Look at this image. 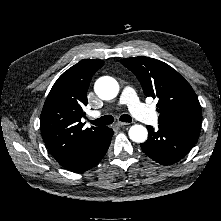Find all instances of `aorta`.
<instances>
[{"label":"aorta","instance_id":"obj_1","mask_svg":"<svg viewBox=\"0 0 221 221\" xmlns=\"http://www.w3.org/2000/svg\"><path fill=\"white\" fill-rule=\"evenodd\" d=\"M94 91L99 98L103 100H110L117 96L119 92V85L114 78L104 76L95 82ZM128 134L130 139L137 143L145 142L148 137L147 129L139 124L131 126Z\"/></svg>","mask_w":221,"mask_h":221}]
</instances>
